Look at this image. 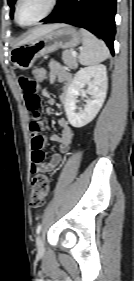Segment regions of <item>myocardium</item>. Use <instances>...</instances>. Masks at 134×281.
<instances>
[{"instance_id":"myocardium-1","label":"myocardium","mask_w":134,"mask_h":281,"mask_svg":"<svg viewBox=\"0 0 134 281\" xmlns=\"http://www.w3.org/2000/svg\"><path fill=\"white\" fill-rule=\"evenodd\" d=\"M22 0H16L15 6H14V19L16 21V23L18 25H20L21 27H31V26H35L37 24H39L40 22H42L44 19H46L48 16H50L54 10L56 9L59 0H50V5L48 7V9L45 11V13L38 18L37 20H35L34 22L30 23V24H22L19 20L18 17V9H19V5L21 3Z\"/></svg>"}]
</instances>
